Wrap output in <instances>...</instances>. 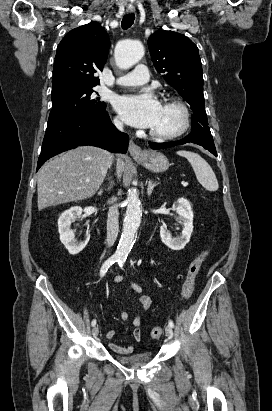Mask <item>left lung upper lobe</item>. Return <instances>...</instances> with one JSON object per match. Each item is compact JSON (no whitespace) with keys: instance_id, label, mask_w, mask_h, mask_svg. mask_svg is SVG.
Wrapping results in <instances>:
<instances>
[{"instance_id":"5c2ea615","label":"left lung upper lobe","mask_w":272,"mask_h":411,"mask_svg":"<svg viewBox=\"0 0 272 411\" xmlns=\"http://www.w3.org/2000/svg\"><path fill=\"white\" fill-rule=\"evenodd\" d=\"M156 70L174 87L193 110L192 132L209 131L206 116L202 63L197 46L185 35L159 30L148 39Z\"/></svg>"}]
</instances>
